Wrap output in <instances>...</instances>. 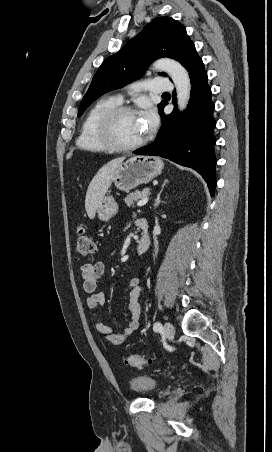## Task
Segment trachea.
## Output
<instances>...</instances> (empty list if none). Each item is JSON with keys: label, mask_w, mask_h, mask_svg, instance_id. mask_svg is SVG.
Instances as JSON below:
<instances>
[{"label": "trachea", "mask_w": 272, "mask_h": 452, "mask_svg": "<svg viewBox=\"0 0 272 452\" xmlns=\"http://www.w3.org/2000/svg\"><path fill=\"white\" fill-rule=\"evenodd\" d=\"M169 94L168 92L163 93V95Z\"/></svg>", "instance_id": "1"}]
</instances>
